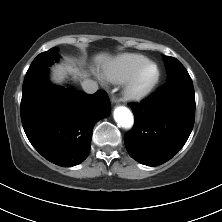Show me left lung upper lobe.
<instances>
[{"instance_id": "5c2ea615", "label": "left lung upper lobe", "mask_w": 222, "mask_h": 222, "mask_svg": "<svg viewBox=\"0 0 222 222\" xmlns=\"http://www.w3.org/2000/svg\"><path fill=\"white\" fill-rule=\"evenodd\" d=\"M164 60L168 72L167 82L190 78L187 70L176 58L167 56Z\"/></svg>"}]
</instances>
